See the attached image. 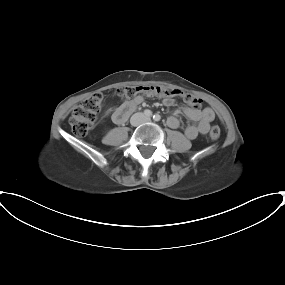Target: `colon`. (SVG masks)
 <instances>
[{
  "mask_svg": "<svg viewBox=\"0 0 285 285\" xmlns=\"http://www.w3.org/2000/svg\"><path fill=\"white\" fill-rule=\"evenodd\" d=\"M116 94L123 99H131L137 95L145 94L147 96L163 95L166 97H180L189 106L200 109L202 100L194 94L184 92L178 88H169L162 86H123L116 90ZM103 95L99 92L90 95L77 106L70 117V125L77 135L83 136L92 128L97 114L100 111ZM221 135L219 126L214 125L210 130V137L217 140Z\"/></svg>",
  "mask_w": 285,
  "mask_h": 285,
  "instance_id": "obj_1",
  "label": "colon"
}]
</instances>
